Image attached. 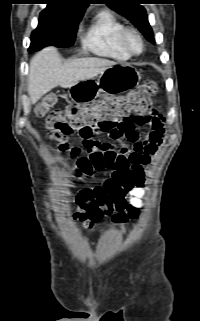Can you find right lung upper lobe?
Instances as JSON below:
<instances>
[{"mask_svg": "<svg viewBox=\"0 0 200 321\" xmlns=\"http://www.w3.org/2000/svg\"><path fill=\"white\" fill-rule=\"evenodd\" d=\"M48 12L53 15H69L84 12L92 0H47Z\"/></svg>", "mask_w": 200, "mask_h": 321, "instance_id": "cb5924a9", "label": "right lung upper lobe"}]
</instances>
